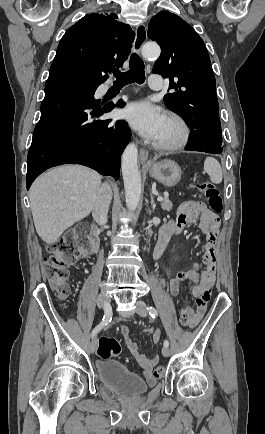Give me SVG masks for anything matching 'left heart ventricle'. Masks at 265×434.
<instances>
[{"label":"left heart ventricle","mask_w":265,"mask_h":434,"mask_svg":"<svg viewBox=\"0 0 265 434\" xmlns=\"http://www.w3.org/2000/svg\"><path fill=\"white\" fill-rule=\"evenodd\" d=\"M174 135V130L171 126L166 123V126L164 128V131L160 137V139L157 141V143H165L168 142Z\"/></svg>","instance_id":"b2bd125f"}]
</instances>
